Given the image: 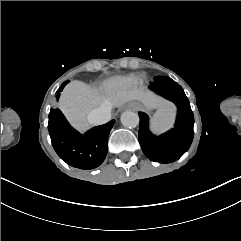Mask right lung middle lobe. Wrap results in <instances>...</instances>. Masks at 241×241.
Here are the masks:
<instances>
[{"label":"right lung middle lobe","instance_id":"dd1d6c3e","mask_svg":"<svg viewBox=\"0 0 241 241\" xmlns=\"http://www.w3.org/2000/svg\"><path fill=\"white\" fill-rule=\"evenodd\" d=\"M69 81H66L62 84V86L57 90V98L60 97V92L63 90V88L65 87V85L68 83Z\"/></svg>","mask_w":241,"mask_h":241}]
</instances>
